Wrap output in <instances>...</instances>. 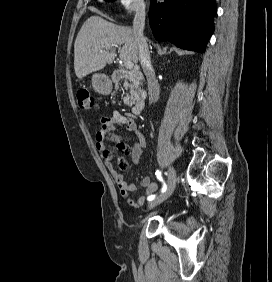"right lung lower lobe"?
I'll use <instances>...</instances> for the list:
<instances>
[{
    "instance_id": "98d812e1",
    "label": "right lung lower lobe",
    "mask_w": 272,
    "mask_h": 282,
    "mask_svg": "<svg viewBox=\"0 0 272 282\" xmlns=\"http://www.w3.org/2000/svg\"><path fill=\"white\" fill-rule=\"evenodd\" d=\"M215 0H152L149 18L154 37L203 53L214 30Z\"/></svg>"
}]
</instances>
